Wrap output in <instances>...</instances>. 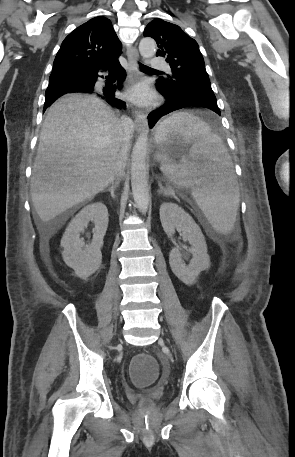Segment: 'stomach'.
<instances>
[{"mask_svg":"<svg viewBox=\"0 0 295 457\" xmlns=\"http://www.w3.org/2000/svg\"><path fill=\"white\" fill-rule=\"evenodd\" d=\"M198 141L199 138L194 137L189 142H187L182 134L170 132L167 134L166 138L161 142L162 151L157 153L156 159L162 163L165 161H171L177 148L184 147L188 144H195Z\"/></svg>","mask_w":295,"mask_h":457,"instance_id":"1","label":"stomach"}]
</instances>
